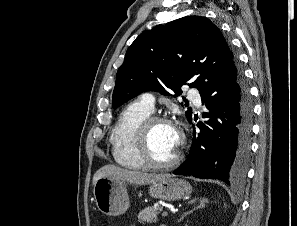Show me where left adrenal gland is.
I'll return each mask as SVG.
<instances>
[{
  "mask_svg": "<svg viewBox=\"0 0 297 226\" xmlns=\"http://www.w3.org/2000/svg\"><path fill=\"white\" fill-rule=\"evenodd\" d=\"M198 202V204L196 205V203ZM205 203H208V200L205 198H195L191 201L188 202L189 205H194V208L187 211L186 213H184L180 219L179 222L182 221L184 219V217H186L187 215H189L190 213H192L193 211L199 209V208H203L205 206Z\"/></svg>",
  "mask_w": 297,
  "mask_h": 226,
  "instance_id": "1",
  "label": "left adrenal gland"
}]
</instances>
